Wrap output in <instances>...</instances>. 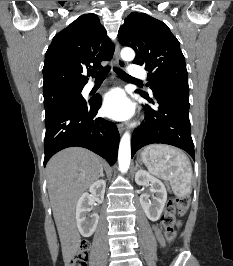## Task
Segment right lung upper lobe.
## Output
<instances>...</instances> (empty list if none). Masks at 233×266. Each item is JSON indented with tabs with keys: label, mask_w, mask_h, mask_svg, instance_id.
<instances>
[{
	"label": "right lung upper lobe",
	"mask_w": 233,
	"mask_h": 266,
	"mask_svg": "<svg viewBox=\"0 0 233 266\" xmlns=\"http://www.w3.org/2000/svg\"><path fill=\"white\" fill-rule=\"evenodd\" d=\"M114 46L97 15L84 14L57 33L43 67V94L62 89H79L87 83L83 72L100 69L109 60Z\"/></svg>",
	"instance_id": "cb5924a9"
}]
</instances>
